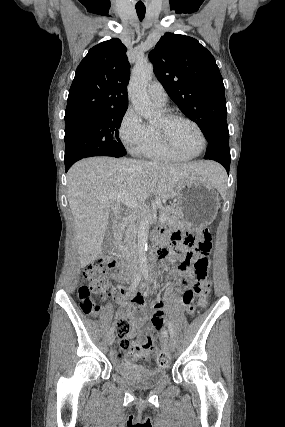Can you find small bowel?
Returning a JSON list of instances; mask_svg holds the SVG:
<instances>
[{
    "mask_svg": "<svg viewBox=\"0 0 285 427\" xmlns=\"http://www.w3.org/2000/svg\"><path fill=\"white\" fill-rule=\"evenodd\" d=\"M170 242L172 244H177L176 238L170 236ZM186 259L190 260H204L205 256L200 254H192L186 257ZM185 262V260H184ZM192 273L195 274L194 270H191ZM180 294H183V297L179 299L178 306L175 310L180 313L185 311L189 314L193 313L194 308L192 305H187L184 303V290L179 291ZM132 295L135 297L136 306L135 310L131 312H127L122 310L121 313L123 316L127 317L130 322V338H140L141 336V326L145 328H153L154 330H158L161 328L164 319V311L166 310L167 304L164 300H160L157 303L151 305L149 307V312L151 313V320L149 321L144 313V303L146 296L141 293L132 292ZM156 333H152L151 336L147 337L144 341V350L132 357V361H147L152 356L154 350L156 349L155 345ZM118 362L120 365H126L129 361L125 356L120 355L118 357Z\"/></svg>",
    "mask_w": 285,
    "mask_h": 427,
    "instance_id": "obj_1",
    "label": "small bowel"
}]
</instances>
